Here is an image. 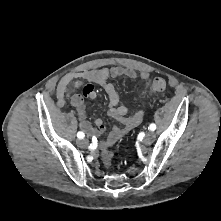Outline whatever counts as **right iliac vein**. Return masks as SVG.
<instances>
[{
  "instance_id": "1",
  "label": "right iliac vein",
  "mask_w": 221,
  "mask_h": 221,
  "mask_svg": "<svg viewBox=\"0 0 221 221\" xmlns=\"http://www.w3.org/2000/svg\"><path fill=\"white\" fill-rule=\"evenodd\" d=\"M77 144L80 147H86L89 144V141L87 139H81L77 141Z\"/></svg>"
}]
</instances>
